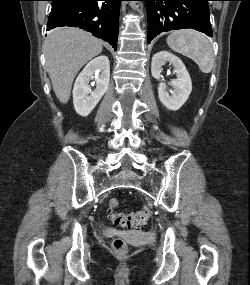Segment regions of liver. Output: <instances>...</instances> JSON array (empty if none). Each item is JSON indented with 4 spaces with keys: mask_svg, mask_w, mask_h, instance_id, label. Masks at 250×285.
Returning a JSON list of instances; mask_svg holds the SVG:
<instances>
[{
    "mask_svg": "<svg viewBox=\"0 0 250 285\" xmlns=\"http://www.w3.org/2000/svg\"><path fill=\"white\" fill-rule=\"evenodd\" d=\"M102 49L101 40L81 29L63 27L50 32L44 44L46 70L61 103L68 102L78 71Z\"/></svg>",
    "mask_w": 250,
    "mask_h": 285,
    "instance_id": "liver-1",
    "label": "liver"
}]
</instances>
